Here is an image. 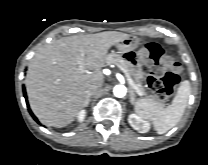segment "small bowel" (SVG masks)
I'll use <instances>...</instances> for the list:
<instances>
[{"mask_svg":"<svg viewBox=\"0 0 208 165\" xmlns=\"http://www.w3.org/2000/svg\"><path fill=\"white\" fill-rule=\"evenodd\" d=\"M123 60L128 64L134 76L137 77L141 86L149 85L150 80L145 70L142 68V61L136 51H125L122 55Z\"/></svg>","mask_w":208,"mask_h":165,"instance_id":"1","label":"small bowel"}]
</instances>
